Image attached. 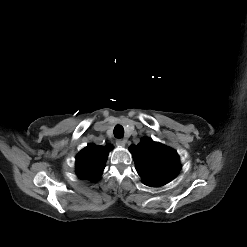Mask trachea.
I'll return each instance as SVG.
<instances>
[{"instance_id":"3493384b","label":"trachea","mask_w":247,"mask_h":247,"mask_svg":"<svg viewBox=\"0 0 247 247\" xmlns=\"http://www.w3.org/2000/svg\"><path fill=\"white\" fill-rule=\"evenodd\" d=\"M124 135V128L121 125H116L114 128V136L116 138H122Z\"/></svg>"}]
</instances>
